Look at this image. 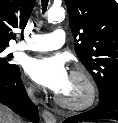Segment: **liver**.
<instances>
[{
	"mask_svg": "<svg viewBox=\"0 0 118 123\" xmlns=\"http://www.w3.org/2000/svg\"><path fill=\"white\" fill-rule=\"evenodd\" d=\"M0 123H21V120L9 108L0 104Z\"/></svg>",
	"mask_w": 118,
	"mask_h": 123,
	"instance_id": "1",
	"label": "liver"
}]
</instances>
